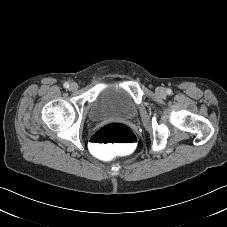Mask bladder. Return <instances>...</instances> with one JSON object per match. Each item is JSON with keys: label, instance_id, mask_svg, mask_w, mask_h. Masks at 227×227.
Listing matches in <instances>:
<instances>
[{"label": "bladder", "instance_id": "31cf9c89", "mask_svg": "<svg viewBox=\"0 0 227 227\" xmlns=\"http://www.w3.org/2000/svg\"><path fill=\"white\" fill-rule=\"evenodd\" d=\"M136 112L137 106L128 94L114 88H105L89 108L88 118L93 122L127 120L133 118Z\"/></svg>", "mask_w": 227, "mask_h": 227}]
</instances>
